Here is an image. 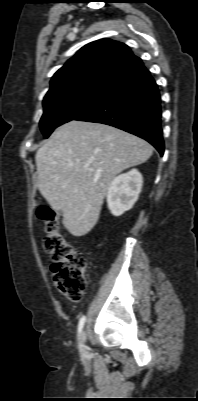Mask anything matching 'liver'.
<instances>
[{
    "label": "liver",
    "mask_w": 198,
    "mask_h": 401,
    "mask_svg": "<svg viewBox=\"0 0 198 401\" xmlns=\"http://www.w3.org/2000/svg\"><path fill=\"white\" fill-rule=\"evenodd\" d=\"M152 153L147 141L123 130L72 120L36 152L38 189L54 210L62 211L64 227L83 236L96 225L115 176Z\"/></svg>",
    "instance_id": "6515ba94"
}]
</instances>
